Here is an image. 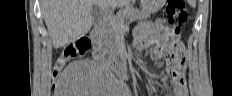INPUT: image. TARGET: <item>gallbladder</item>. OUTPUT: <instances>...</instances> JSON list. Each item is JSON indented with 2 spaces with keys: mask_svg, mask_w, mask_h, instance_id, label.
Listing matches in <instances>:
<instances>
[{
  "mask_svg": "<svg viewBox=\"0 0 232 96\" xmlns=\"http://www.w3.org/2000/svg\"><path fill=\"white\" fill-rule=\"evenodd\" d=\"M92 17H93V25L97 26L99 24V20L101 17V11L98 5H93L92 6Z\"/></svg>",
  "mask_w": 232,
  "mask_h": 96,
  "instance_id": "obj_1",
  "label": "gallbladder"
}]
</instances>
